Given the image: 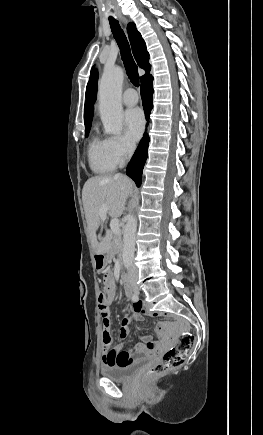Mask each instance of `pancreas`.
Returning a JSON list of instances; mask_svg holds the SVG:
<instances>
[{"mask_svg": "<svg viewBox=\"0 0 263 435\" xmlns=\"http://www.w3.org/2000/svg\"><path fill=\"white\" fill-rule=\"evenodd\" d=\"M120 252H121V234L114 233V236L112 238V242L110 244V248L108 250V254L111 257H114L116 253H118L120 255Z\"/></svg>", "mask_w": 263, "mask_h": 435, "instance_id": "1", "label": "pancreas"}]
</instances>
